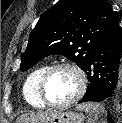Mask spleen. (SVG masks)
I'll list each match as a JSON object with an SVG mask.
<instances>
[{"label":"spleen","mask_w":122,"mask_h":123,"mask_svg":"<svg viewBox=\"0 0 122 123\" xmlns=\"http://www.w3.org/2000/svg\"><path fill=\"white\" fill-rule=\"evenodd\" d=\"M79 111H84L87 114L88 123H107L106 111L104 106L97 103H84L76 107Z\"/></svg>","instance_id":"3e777b00"}]
</instances>
